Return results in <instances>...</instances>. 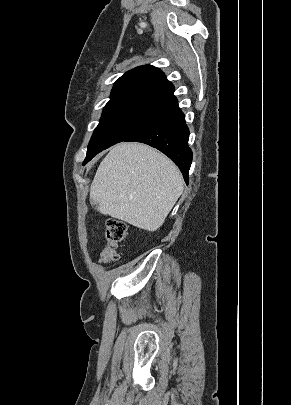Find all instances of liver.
<instances>
[{
  "instance_id": "6515ba94",
  "label": "liver",
  "mask_w": 291,
  "mask_h": 405,
  "mask_svg": "<svg viewBox=\"0 0 291 405\" xmlns=\"http://www.w3.org/2000/svg\"><path fill=\"white\" fill-rule=\"evenodd\" d=\"M183 177L165 155L141 143L115 145L100 163L90 189L103 215L153 232L183 192Z\"/></svg>"
}]
</instances>
